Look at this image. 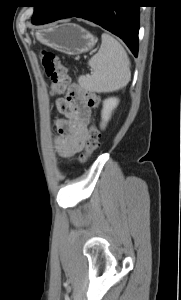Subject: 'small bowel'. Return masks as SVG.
<instances>
[{
	"label": "small bowel",
	"mask_w": 181,
	"mask_h": 300,
	"mask_svg": "<svg viewBox=\"0 0 181 300\" xmlns=\"http://www.w3.org/2000/svg\"><path fill=\"white\" fill-rule=\"evenodd\" d=\"M67 103L66 97L59 98L56 102L57 109L61 112L62 105ZM89 113V108L81 102L73 106L70 116L56 120L58 136L55 145L61 156L71 157L82 148Z\"/></svg>",
	"instance_id": "obj_1"
}]
</instances>
